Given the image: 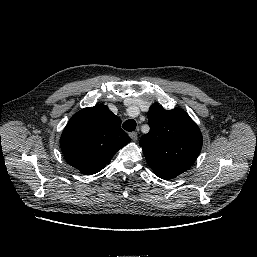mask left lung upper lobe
I'll use <instances>...</instances> for the list:
<instances>
[{"instance_id":"5c2ea615","label":"left lung upper lobe","mask_w":257,"mask_h":257,"mask_svg":"<svg viewBox=\"0 0 257 257\" xmlns=\"http://www.w3.org/2000/svg\"><path fill=\"white\" fill-rule=\"evenodd\" d=\"M150 131L140 139L147 163L163 179H172L188 170L202 148V135L196 123L181 108L165 110L151 105Z\"/></svg>"}]
</instances>
